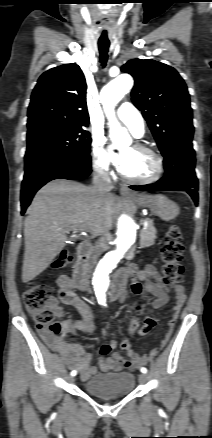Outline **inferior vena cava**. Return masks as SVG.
I'll return each instance as SVG.
<instances>
[{
  "label": "inferior vena cava",
  "mask_w": 212,
  "mask_h": 438,
  "mask_svg": "<svg viewBox=\"0 0 212 438\" xmlns=\"http://www.w3.org/2000/svg\"><path fill=\"white\" fill-rule=\"evenodd\" d=\"M93 191L97 196H106L113 189V185L108 171L103 168L95 167L93 174ZM102 252V244L99 243L95 246L91 256V263L93 264Z\"/></svg>",
  "instance_id": "1"
}]
</instances>
